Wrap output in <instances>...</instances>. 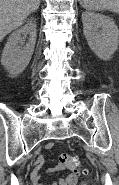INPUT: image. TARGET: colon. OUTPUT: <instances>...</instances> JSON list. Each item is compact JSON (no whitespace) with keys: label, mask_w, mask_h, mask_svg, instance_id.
<instances>
[{"label":"colon","mask_w":119,"mask_h":185,"mask_svg":"<svg viewBox=\"0 0 119 185\" xmlns=\"http://www.w3.org/2000/svg\"><path fill=\"white\" fill-rule=\"evenodd\" d=\"M59 161L61 165H63L64 167L70 169L75 173L83 172L79 161L75 157L69 154H61L59 157Z\"/></svg>","instance_id":"1"}]
</instances>
